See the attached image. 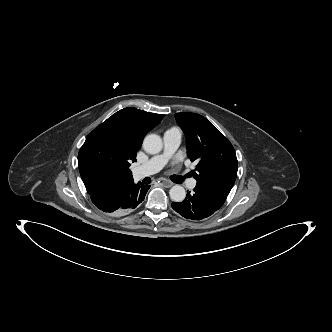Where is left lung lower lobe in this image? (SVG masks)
<instances>
[{"label":"left lung lower lobe","mask_w":332,"mask_h":332,"mask_svg":"<svg viewBox=\"0 0 332 332\" xmlns=\"http://www.w3.org/2000/svg\"><path fill=\"white\" fill-rule=\"evenodd\" d=\"M222 204L213 200L202 191L195 189L187 194L185 200L180 203L173 202L172 208L183 217L192 220H202L211 216L220 209Z\"/></svg>","instance_id":"0a47b994"}]
</instances>
